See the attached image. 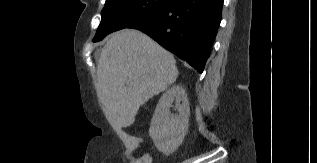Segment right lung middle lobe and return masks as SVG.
I'll list each match as a JSON object with an SVG mask.
<instances>
[{"label": "right lung middle lobe", "mask_w": 317, "mask_h": 163, "mask_svg": "<svg viewBox=\"0 0 317 163\" xmlns=\"http://www.w3.org/2000/svg\"><path fill=\"white\" fill-rule=\"evenodd\" d=\"M169 0H106L101 22L93 42L107 34L128 28L165 6Z\"/></svg>", "instance_id": "right-lung-middle-lobe-1"}]
</instances>
